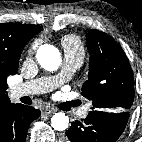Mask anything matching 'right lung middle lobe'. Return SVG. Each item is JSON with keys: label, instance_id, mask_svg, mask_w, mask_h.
<instances>
[{"label": "right lung middle lobe", "instance_id": "right-lung-middle-lobe-1", "mask_svg": "<svg viewBox=\"0 0 142 142\" xmlns=\"http://www.w3.org/2000/svg\"><path fill=\"white\" fill-rule=\"evenodd\" d=\"M17 72V70L15 72H13L12 74H15ZM10 74L4 72L3 70H0V78L1 80L7 85V76H9Z\"/></svg>", "mask_w": 142, "mask_h": 142}]
</instances>
